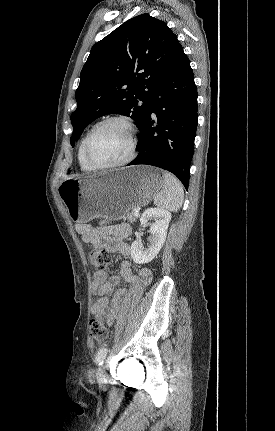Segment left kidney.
Here are the masks:
<instances>
[{"instance_id": "obj_1", "label": "left kidney", "mask_w": 275, "mask_h": 431, "mask_svg": "<svg viewBox=\"0 0 275 431\" xmlns=\"http://www.w3.org/2000/svg\"><path fill=\"white\" fill-rule=\"evenodd\" d=\"M149 220L154 221L150 226L149 247L143 248L138 241L131 245V257L137 264L148 263L157 256L166 239L171 213L161 208H149L142 214L140 223L144 225Z\"/></svg>"}]
</instances>
